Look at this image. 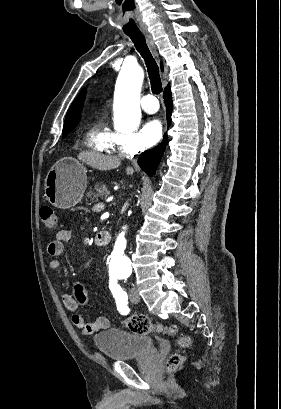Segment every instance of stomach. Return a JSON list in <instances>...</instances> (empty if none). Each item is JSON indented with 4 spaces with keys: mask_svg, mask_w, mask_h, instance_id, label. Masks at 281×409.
Returning a JSON list of instances; mask_svg holds the SVG:
<instances>
[{
    "mask_svg": "<svg viewBox=\"0 0 281 409\" xmlns=\"http://www.w3.org/2000/svg\"><path fill=\"white\" fill-rule=\"evenodd\" d=\"M86 188V168L72 156L59 158L45 178V196L57 209L75 207Z\"/></svg>",
    "mask_w": 281,
    "mask_h": 409,
    "instance_id": "1",
    "label": "stomach"
}]
</instances>
